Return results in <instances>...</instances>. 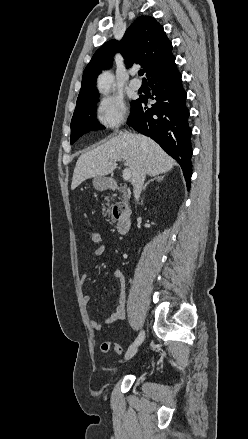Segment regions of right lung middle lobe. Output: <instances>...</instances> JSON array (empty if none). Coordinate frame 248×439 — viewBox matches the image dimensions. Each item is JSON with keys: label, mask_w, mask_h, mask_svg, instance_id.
Instances as JSON below:
<instances>
[{"label": "right lung middle lobe", "mask_w": 248, "mask_h": 439, "mask_svg": "<svg viewBox=\"0 0 248 439\" xmlns=\"http://www.w3.org/2000/svg\"><path fill=\"white\" fill-rule=\"evenodd\" d=\"M97 99L98 98L91 99L75 109L71 120V144L76 142L79 137L90 131L104 128L97 122L95 118ZM134 103L135 101L131 102V107L134 105Z\"/></svg>", "instance_id": "dd1d6c3e"}]
</instances>
